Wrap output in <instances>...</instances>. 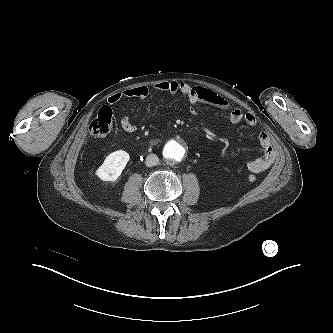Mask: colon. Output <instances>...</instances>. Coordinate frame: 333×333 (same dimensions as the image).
I'll use <instances>...</instances> for the list:
<instances>
[{
    "instance_id": "1",
    "label": "colon",
    "mask_w": 333,
    "mask_h": 333,
    "mask_svg": "<svg viewBox=\"0 0 333 333\" xmlns=\"http://www.w3.org/2000/svg\"><path fill=\"white\" fill-rule=\"evenodd\" d=\"M113 123V112L110 107L103 106L100 108L97 116L91 122L89 130L93 136H104L111 130ZM249 182H255L257 180L256 175H248Z\"/></svg>"
}]
</instances>
